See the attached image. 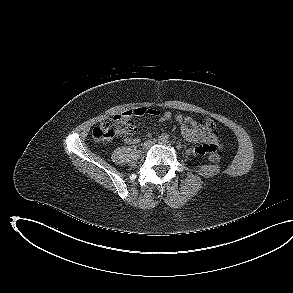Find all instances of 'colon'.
I'll list each match as a JSON object with an SVG mask.
<instances>
[{"instance_id": "1", "label": "colon", "mask_w": 293, "mask_h": 293, "mask_svg": "<svg viewBox=\"0 0 293 293\" xmlns=\"http://www.w3.org/2000/svg\"><path fill=\"white\" fill-rule=\"evenodd\" d=\"M136 130V125L131 119L124 115H115L95 127L92 136L95 140L102 141L118 136L132 135ZM198 152L200 154H209V160L211 162L217 163L220 161V157L214 152H209L206 147H200Z\"/></svg>"}]
</instances>
